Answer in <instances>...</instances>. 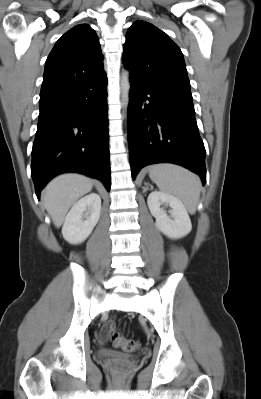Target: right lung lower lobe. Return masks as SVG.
Listing matches in <instances>:
<instances>
[{"instance_id":"obj_1","label":"right lung lower lobe","mask_w":261,"mask_h":399,"mask_svg":"<svg viewBox=\"0 0 261 399\" xmlns=\"http://www.w3.org/2000/svg\"><path fill=\"white\" fill-rule=\"evenodd\" d=\"M107 77L40 98L32 149L35 192L54 176L79 172L101 180L109 191Z\"/></svg>"}]
</instances>
